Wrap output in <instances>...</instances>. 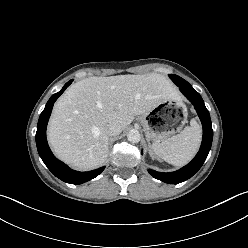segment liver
Returning a JSON list of instances; mask_svg holds the SVG:
<instances>
[{"label": "liver", "mask_w": 248, "mask_h": 248, "mask_svg": "<svg viewBox=\"0 0 248 248\" xmlns=\"http://www.w3.org/2000/svg\"><path fill=\"white\" fill-rule=\"evenodd\" d=\"M175 98L171 81L157 73L85 78L55 103L49 143L57 157L79 170L99 167L108 156V124L117 123L123 130L135 116Z\"/></svg>", "instance_id": "6515ba94"}]
</instances>
